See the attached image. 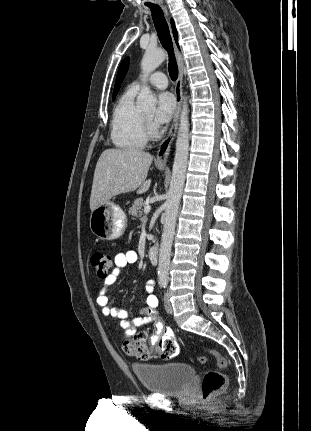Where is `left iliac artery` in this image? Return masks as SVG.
I'll list each match as a JSON object with an SVG mask.
<instances>
[{
  "label": "left iliac artery",
  "instance_id": "obj_1",
  "mask_svg": "<svg viewBox=\"0 0 311 431\" xmlns=\"http://www.w3.org/2000/svg\"><path fill=\"white\" fill-rule=\"evenodd\" d=\"M163 286H164V288H165V287H166V284H164Z\"/></svg>",
  "mask_w": 311,
  "mask_h": 431
}]
</instances>
